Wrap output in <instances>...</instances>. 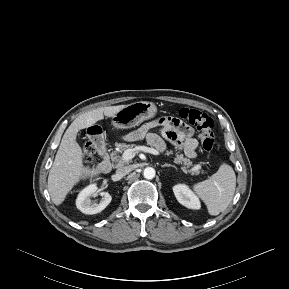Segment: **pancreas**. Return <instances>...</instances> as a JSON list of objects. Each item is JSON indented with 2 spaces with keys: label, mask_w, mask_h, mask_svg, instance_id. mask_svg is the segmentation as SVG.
Listing matches in <instances>:
<instances>
[{
  "label": "pancreas",
  "mask_w": 289,
  "mask_h": 289,
  "mask_svg": "<svg viewBox=\"0 0 289 289\" xmlns=\"http://www.w3.org/2000/svg\"><path fill=\"white\" fill-rule=\"evenodd\" d=\"M116 151L111 153V160L115 163H117L118 166H122L124 164H127L129 161L123 160L117 153H122L126 151L127 149H133L136 147L134 144H126V143H117L116 145ZM173 151H167V155H172ZM175 163L183 165L182 170L187 171V169L192 166V162L185 158L183 154H179V152L176 153V156L174 158ZM191 174H199V169L197 170H189Z\"/></svg>",
  "instance_id": "1"
}]
</instances>
